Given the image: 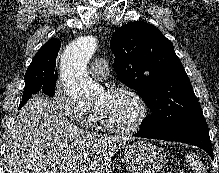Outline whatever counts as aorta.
I'll return each mask as SVG.
<instances>
[{
    "mask_svg": "<svg viewBox=\"0 0 219 173\" xmlns=\"http://www.w3.org/2000/svg\"><path fill=\"white\" fill-rule=\"evenodd\" d=\"M97 48V39L82 36L72 41L61 57V79L66 93L77 101H93L100 91L99 85L87 74V63Z\"/></svg>",
    "mask_w": 219,
    "mask_h": 173,
    "instance_id": "1",
    "label": "aorta"
}]
</instances>
